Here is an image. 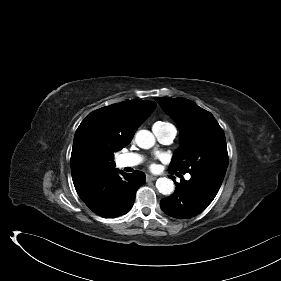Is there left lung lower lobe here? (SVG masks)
Wrapping results in <instances>:
<instances>
[{
  "instance_id": "1",
  "label": "left lung lower lobe",
  "mask_w": 281,
  "mask_h": 281,
  "mask_svg": "<svg viewBox=\"0 0 281 281\" xmlns=\"http://www.w3.org/2000/svg\"><path fill=\"white\" fill-rule=\"evenodd\" d=\"M173 173V171H169ZM225 175L218 173L191 174V179L176 184L175 192L160 201L161 208L169 216L177 219H190L213 201Z\"/></svg>"
}]
</instances>
